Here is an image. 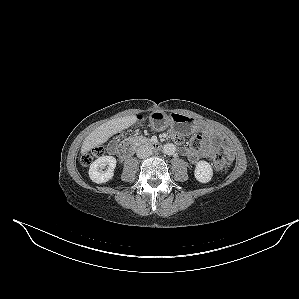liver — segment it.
<instances>
[{
    "mask_svg": "<svg viewBox=\"0 0 299 299\" xmlns=\"http://www.w3.org/2000/svg\"><path fill=\"white\" fill-rule=\"evenodd\" d=\"M137 122L135 115L116 118L107 121L93 130L83 141L81 154L85 155L91 149L105 143L111 136L129 128Z\"/></svg>",
    "mask_w": 299,
    "mask_h": 299,
    "instance_id": "obj_1",
    "label": "liver"
}]
</instances>
